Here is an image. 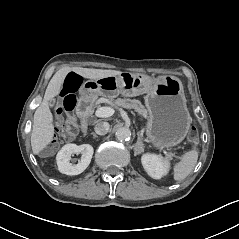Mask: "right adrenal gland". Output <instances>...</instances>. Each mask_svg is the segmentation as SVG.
I'll list each match as a JSON object with an SVG mask.
<instances>
[{"instance_id":"1","label":"right adrenal gland","mask_w":239,"mask_h":239,"mask_svg":"<svg viewBox=\"0 0 239 239\" xmlns=\"http://www.w3.org/2000/svg\"><path fill=\"white\" fill-rule=\"evenodd\" d=\"M94 138H96V139H98L99 138V136H97V134L96 133H94V132H92V133H90Z\"/></svg>"}]
</instances>
